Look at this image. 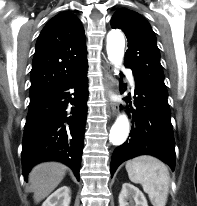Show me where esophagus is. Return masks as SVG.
<instances>
[{
  "instance_id": "1",
  "label": "esophagus",
  "mask_w": 197,
  "mask_h": 206,
  "mask_svg": "<svg viewBox=\"0 0 197 206\" xmlns=\"http://www.w3.org/2000/svg\"><path fill=\"white\" fill-rule=\"evenodd\" d=\"M103 72H104V86L106 91V96L108 98L110 110L113 115L117 113L118 104L113 98L114 93V78L112 75V70L110 68V64L104 63L103 65Z\"/></svg>"
}]
</instances>
